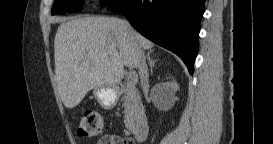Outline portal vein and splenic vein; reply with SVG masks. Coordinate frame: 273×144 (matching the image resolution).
I'll list each match as a JSON object with an SVG mask.
<instances>
[{
	"instance_id": "portal-vein-and-splenic-vein-1",
	"label": "portal vein and splenic vein",
	"mask_w": 273,
	"mask_h": 144,
	"mask_svg": "<svg viewBox=\"0 0 273 144\" xmlns=\"http://www.w3.org/2000/svg\"><path fill=\"white\" fill-rule=\"evenodd\" d=\"M137 83V75L133 72L129 73L127 77V86L132 87Z\"/></svg>"
}]
</instances>
